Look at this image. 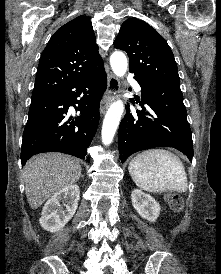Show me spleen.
I'll return each instance as SVG.
<instances>
[{"label":"spleen","mask_w":221,"mask_h":274,"mask_svg":"<svg viewBox=\"0 0 221 274\" xmlns=\"http://www.w3.org/2000/svg\"><path fill=\"white\" fill-rule=\"evenodd\" d=\"M135 184L150 193L187 191V175L183 163L164 149H150L137 154L128 166Z\"/></svg>","instance_id":"1"}]
</instances>
